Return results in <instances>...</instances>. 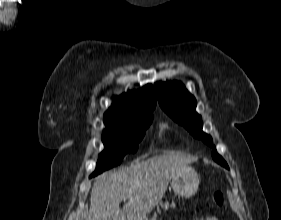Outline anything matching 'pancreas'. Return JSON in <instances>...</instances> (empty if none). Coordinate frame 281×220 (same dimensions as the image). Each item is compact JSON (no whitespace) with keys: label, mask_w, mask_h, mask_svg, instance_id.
<instances>
[{"label":"pancreas","mask_w":281,"mask_h":220,"mask_svg":"<svg viewBox=\"0 0 281 220\" xmlns=\"http://www.w3.org/2000/svg\"><path fill=\"white\" fill-rule=\"evenodd\" d=\"M160 207L162 208H169V207H172L174 208L175 207V203L172 202L171 204L169 202H165V203H160ZM157 213H161V209L158 207L157 208ZM151 220H156V215H154V217L151 219Z\"/></svg>","instance_id":"1"}]
</instances>
